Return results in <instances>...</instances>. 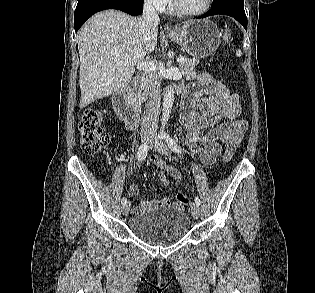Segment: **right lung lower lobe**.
<instances>
[{"instance_id":"98d812e1","label":"right lung lower lobe","mask_w":315,"mask_h":293,"mask_svg":"<svg viewBox=\"0 0 315 293\" xmlns=\"http://www.w3.org/2000/svg\"><path fill=\"white\" fill-rule=\"evenodd\" d=\"M144 0H78L74 15L75 31L94 13L105 9H118L130 15H140Z\"/></svg>"}]
</instances>
